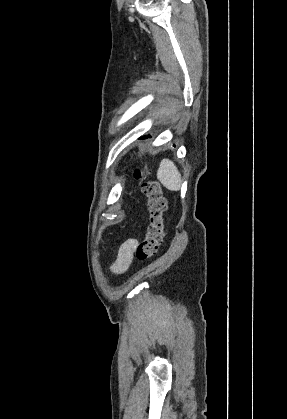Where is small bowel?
<instances>
[{"mask_svg":"<svg viewBox=\"0 0 287 419\" xmlns=\"http://www.w3.org/2000/svg\"><path fill=\"white\" fill-rule=\"evenodd\" d=\"M137 245L138 240L128 239L119 247L115 262L111 267L113 273L121 274L129 268Z\"/></svg>","mask_w":287,"mask_h":419,"instance_id":"1","label":"small bowel"}]
</instances>
